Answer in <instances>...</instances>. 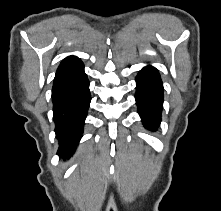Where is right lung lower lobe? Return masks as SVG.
<instances>
[{"mask_svg": "<svg viewBox=\"0 0 221 211\" xmlns=\"http://www.w3.org/2000/svg\"><path fill=\"white\" fill-rule=\"evenodd\" d=\"M91 101L89 81L83 64L58 73L52 87L53 120L59 141L57 154L70 158L82 137Z\"/></svg>", "mask_w": 221, "mask_h": 211, "instance_id": "obj_1", "label": "right lung lower lobe"}]
</instances>
